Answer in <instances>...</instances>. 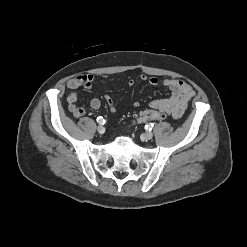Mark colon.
<instances>
[{
  "instance_id": "5ec220e1",
  "label": "colon",
  "mask_w": 247,
  "mask_h": 247,
  "mask_svg": "<svg viewBox=\"0 0 247 247\" xmlns=\"http://www.w3.org/2000/svg\"><path fill=\"white\" fill-rule=\"evenodd\" d=\"M164 118V115L155 109L144 110L138 114L137 120L139 122H145L149 120H161Z\"/></svg>"
}]
</instances>
